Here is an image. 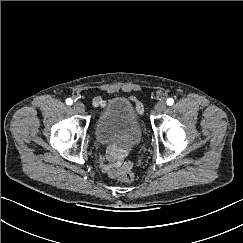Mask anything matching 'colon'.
<instances>
[{
  "instance_id": "5ec220e1",
  "label": "colon",
  "mask_w": 243,
  "mask_h": 243,
  "mask_svg": "<svg viewBox=\"0 0 243 243\" xmlns=\"http://www.w3.org/2000/svg\"><path fill=\"white\" fill-rule=\"evenodd\" d=\"M131 168V167H130ZM130 168L125 170L120 176L119 180L124 183H130L134 180V174L130 171Z\"/></svg>"
}]
</instances>
